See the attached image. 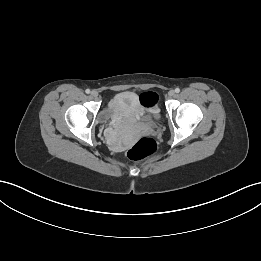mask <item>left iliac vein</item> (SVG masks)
Listing matches in <instances>:
<instances>
[{"label":"left iliac vein","instance_id":"left-iliac-vein-1","mask_svg":"<svg viewBox=\"0 0 261 261\" xmlns=\"http://www.w3.org/2000/svg\"><path fill=\"white\" fill-rule=\"evenodd\" d=\"M175 95V91L174 90H170L169 92H168V96L169 97H173Z\"/></svg>","mask_w":261,"mask_h":261}]
</instances>
